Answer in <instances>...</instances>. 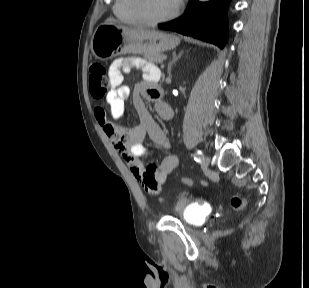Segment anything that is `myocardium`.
<instances>
[{
    "instance_id": "1",
    "label": "myocardium",
    "mask_w": 309,
    "mask_h": 288,
    "mask_svg": "<svg viewBox=\"0 0 309 288\" xmlns=\"http://www.w3.org/2000/svg\"><path fill=\"white\" fill-rule=\"evenodd\" d=\"M132 1H133L132 7H133V10H134L135 14L137 15V17L143 23L151 24V25L163 23V22H166V21H169V20L175 18L180 13V11L183 7V0H179L175 9L173 11H171L170 13H168L164 16H161V17H152L146 11V8H145L146 0H132Z\"/></svg>"
}]
</instances>
